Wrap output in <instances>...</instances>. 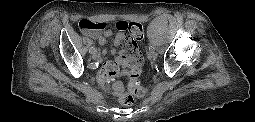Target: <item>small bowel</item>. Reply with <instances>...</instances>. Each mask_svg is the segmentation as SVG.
I'll list each match as a JSON object with an SVG mask.
<instances>
[{
    "mask_svg": "<svg viewBox=\"0 0 255 122\" xmlns=\"http://www.w3.org/2000/svg\"><path fill=\"white\" fill-rule=\"evenodd\" d=\"M110 35H112V32L107 31L87 34L89 38L97 40L101 46L106 44V39ZM114 45L122 47L116 56L114 63L129 68L141 66L142 57L138 41L134 38L127 37L125 32H119L114 40ZM102 53L103 55H106L107 50L104 49ZM111 53L115 54L116 50L112 49Z\"/></svg>",
    "mask_w": 255,
    "mask_h": 122,
    "instance_id": "1",
    "label": "small bowel"
}]
</instances>
